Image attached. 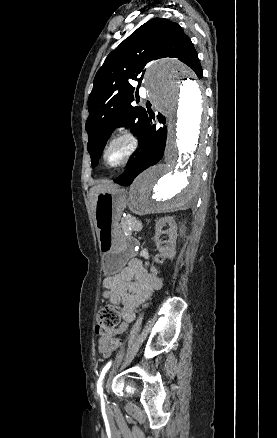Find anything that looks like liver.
<instances>
[{"label":"liver","instance_id":"obj_1","mask_svg":"<svg viewBox=\"0 0 277 438\" xmlns=\"http://www.w3.org/2000/svg\"><path fill=\"white\" fill-rule=\"evenodd\" d=\"M101 192H108V188H103V186H94V188H91L90 190V194L92 196V198H96V196H98V194H101Z\"/></svg>","mask_w":277,"mask_h":438}]
</instances>
